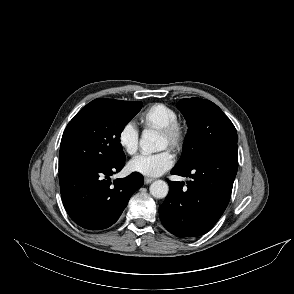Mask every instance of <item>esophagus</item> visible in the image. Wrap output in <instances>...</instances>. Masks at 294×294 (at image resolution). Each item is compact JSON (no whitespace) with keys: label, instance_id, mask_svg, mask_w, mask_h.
I'll return each mask as SVG.
<instances>
[{"label":"esophagus","instance_id":"obj_1","mask_svg":"<svg viewBox=\"0 0 294 294\" xmlns=\"http://www.w3.org/2000/svg\"><path fill=\"white\" fill-rule=\"evenodd\" d=\"M155 179L154 178H150V177H145L144 178V182L145 184H150L151 182H153Z\"/></svg>","mask_w":294,"mask_h":294}]
</instances>
